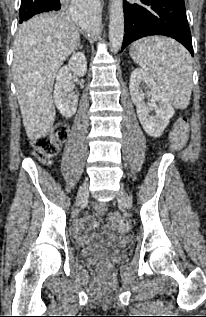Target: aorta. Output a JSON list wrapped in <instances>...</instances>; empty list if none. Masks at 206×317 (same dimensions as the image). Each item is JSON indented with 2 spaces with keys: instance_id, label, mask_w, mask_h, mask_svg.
Here are the masks:
<instances>
[{
  "instance_id": "1",
  "label": "aorta",
  "mask_w": 206,
  "mask_h": 317,
  "mask_svg": "<svg viewBox=\"0 0 206 317\" xmlns=\"http://www.w3.org/2000/svg\"><path fill=\"white\" fill-rule=\"evenodd\" d=\"M79 25L87 31H97L98 20L84 10L77 18ZM124 36L123 0H111L109 20V41L112 52H117L122 45Z\"/></svg>"
}]
</instances>
